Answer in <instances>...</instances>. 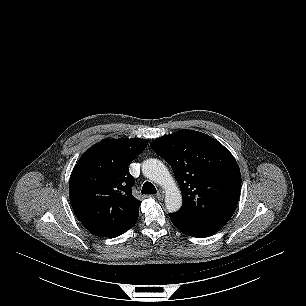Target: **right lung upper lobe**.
<instances>
[{
  "instance_id": "1",
  "label": "right lung upper lobe",
  "mask_w": 306,
  "mask_h": 306,
  "mask_svg": "<svg viewBox=\"0 0 306 306\" xmlns=\"http://www.w3.org/2000/svg\"><path fill=\"white\" fill-rule=\"evenodd\" d=\"M147 144L138 138L105 139L80 157L69 181V198L90 233L114 238L136 223L141 201L131 193L134 178L128 166Z\"/></svg>"
}]
</instances>
